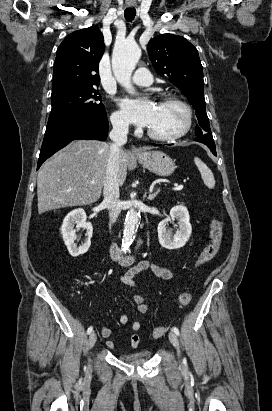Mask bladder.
Listing matches in <instances>:
<instances>
[{
  "label": "bladder",
  "instance_id": "bladder-1",
  "mask_svg": "<svg viewBox=\"0 0 272 411\" xmlns=\"http://www.w3.org/2000/svg\"><path fill=\"white\" fill-rule=\"evenodd\" d=\"M151 357L150 352H139L133 354H123L119 356V359L126 363H142L149 360Z\"/></svg>",
  "mask_w": 272,
  "mask_h": 411
}]
</instances>
